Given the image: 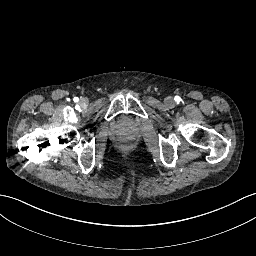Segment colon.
Here are the masks:
<instances>
[{"label": "colon", "instance_id": "1", "mask_svg": "<svg viewBox=\"0 0 256 256\" xmlns=\"http://www.w3.org/2000/svg\"><path fill=\"white\" fill-rule=\"evenodd\" d=\"M119 146H120V148H122L123 151H125V152H129V151H131V149H132V144H131V142L125 141V140L120 141Z\"/></svg>", "mask_w": 256, "mask_h": 256}]
</instances>
